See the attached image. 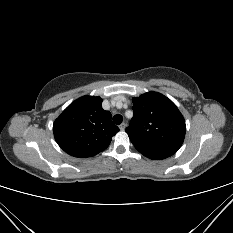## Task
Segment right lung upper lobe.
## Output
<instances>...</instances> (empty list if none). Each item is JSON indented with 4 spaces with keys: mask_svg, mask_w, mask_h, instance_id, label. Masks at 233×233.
<instances>
[{
    "mask_svg": "<svg viewBox=\"0 0 233 233\" xmlns=\"http://www.w3.org/2000/svg\"><path fill=\"white\" fill-rule=\"evenodd\" d=\"M118 131L111 113L102 108V99L94 96L72 102L53 125L58 145L78 158L92 157L106 149Z\"/></svg>",
    "mask_w": 233,
    "mask_h": 233,
    "instance_id": "obj_1",
    "label": "right lung upper lobe"
}]
</instances>
